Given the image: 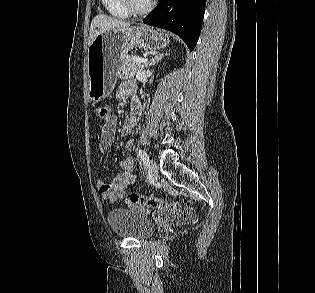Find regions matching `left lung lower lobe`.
<instances>
[{
    "instance_id": "0a47b994",
    "label": "left lung lower lobe",
    "mask_w": 315,
    "mask_h": 293,
    "mask_svg": "<svg viewBox=\"0 0 315 293\" xmlns=\"http://www.w3.org/2000/svg\"><path fill=\"white\" fill-rule=\"evenodd\" d=\"M206 0H160L142 22L177 34L194 49L198 41Z\"/></svg>"
}]
</instances>
